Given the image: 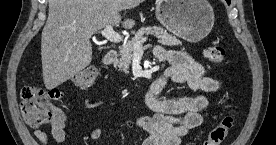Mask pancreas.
Wrapping results in <instances>:
<instances>
[{"mask_svg":"<svg viewBox=\"0 0 276 145\" xmlns=\"http://www.w3.org/2000/svg\"><path fill=\"white\" fill-rule=\"evenodd\" d=\"M144 35H154L158 38V42L165 46H176L181 45L182 42L177 39L175 36L167 33L162 27L158 26H149L143 27L137 31L135 36L129 41L125 46L120 49V59L115 62V68H119L124 73H129V66L133 58V45L140 41Z\"/></svg>","mask_w":276,"mask_h":145,"instance_id":"cf45deb5","label":"pancreas"}]
</instances>
